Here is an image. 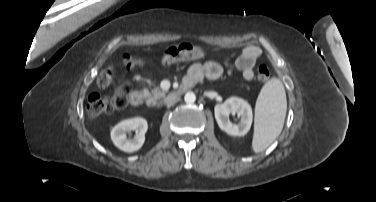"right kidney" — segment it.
I'll use <instances>...</instances> for the list:
<instances>
[{
    "instance_id": "right-kidney-1",
    "label": "right kidney",
    "mask_w": 376,
    "mask_h": 202,
    "mask_svg": "<svg viewBox=\"0 0 376 202\" xmlns=\"http://www.w3.org/2000/svg\"><path fill=\"white\" fill-rule=\"evenodd\" d=\"M147 129L148 124L144 118L126 119L112 128L111 139L117 148L124 152L132 153L138 151L144 144ZM130 130L136 132L133 139H127L126 133Z\"/></svg>"
}]
</instances>
